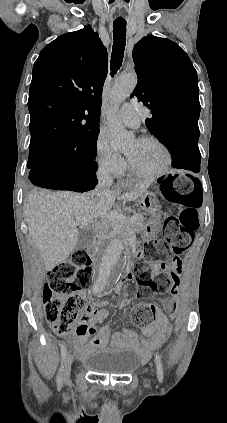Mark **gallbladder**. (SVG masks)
Listing matches in <instances>:
<instances>
[{"label": "gallbladder", "mask_w": 227, "mask_h": 423, "mask_svg": "<svg viewBox=\"0 0 227 423\" xmlns=\"http://www.w3.org/2000/svg\"><path fill=\"white\" fill-rule=\"evenodd\" d=\"M94 239V229L91 225H85L81 227L78 241L75 245V249H85Z\"/></svg>", "instance_id": "1"}]
</instances>
